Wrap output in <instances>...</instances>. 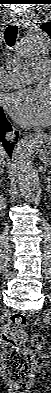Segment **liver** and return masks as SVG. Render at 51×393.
Masks as SVG:
<instances>
[{"instance_id":"1","label":"liver","mask_w":51,"mask_h":393,"mask_svg":"<svg viewBox=\"0 0 51 393\" xmlns=\"http://www.w3.org/2000/svg\"><path fill=\"white\" fill-rule=\"evenodd\" d=\"M5 157H6V153H5L4 149L1 148V150H0V161H1V163L4 161Z\"/></svg>"}]
</instances>
